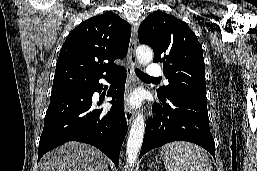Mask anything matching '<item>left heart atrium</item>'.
Returning <instances> with one entry per match:
<instances>
[{
  "label": "left heart atrium",
  "mask_w": 257,
  "mask_h": 171,
  "mask_svg": "<svg viewBox=\"0 0 257 171\" xmlns=\"http://www.w3.org/2000/svg\"><path fill=\"white\" fill-rule=\"evenodd\" d=\"M141 100H142V97L140 95V93L138 92H135V93H132L128 98H127V104L129 106H132V107H136L138 106L140 103H141Z\"/></svg>",
  "instance_id": "1"
}]
</instances>
